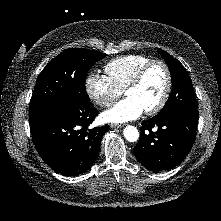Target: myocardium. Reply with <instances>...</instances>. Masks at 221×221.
I'll return each mask as SVG.
<instances>
[{
	"label": "myocardium",
	"mask_w": 221,
	"mask_h": 221,
	"mask_svg": "<svg viewBox=\"0 0 221 221\" xmlns=\"http://www.w3.org/2000/svg\"><path fill=\"white\" fill-rule=\"evenodd\" d=\"M155 65H159L163 68L166 76V85L162 97L160 98L158 103L152 108L144 111L145 114L147 115H154L158 113L160 110H162V108L165 106V104L168 101V98L172 90V75L169 66L164 61L159 59L150 60L148 63L144 64L141 68H139L136 71V73L133 75L131 80L124 88V93L126 94L130 89L138 86L139 83L142 81L143 77L145 76V74L150 70V68H152Z\"/></svg>",
	"instance_id": "obj_1"
}]
</instances>
